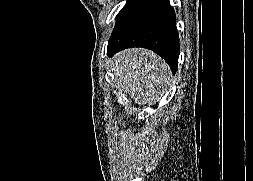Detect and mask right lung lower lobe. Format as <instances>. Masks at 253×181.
<instances>
[{"mask_svg":"<svg viewBox=\"0 0 253 181\" xmlns=\"http://www.w3.org/2000/svg\"><path fill=\"white\" fill-rule=\"evenodd\" d=\"M143 47L161 56L173 73L180 53L175 12L169 0H136L117 20L108 41L107 54Z\"/></svg>","mask_w":253,"mask_h":181,"instance_id":"98d812e1","label":"right lung lower lobe"}]
</instances>
